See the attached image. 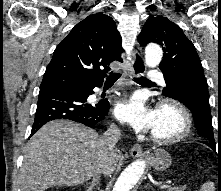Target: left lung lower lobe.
Returning <instances> with one entry per match:
<instances>
[{
    "label": "left lung lower lobe",
    "mask_w": 221,
    "mask_h": 191,
    "mask_svg": "<svg viewBox=\"0 0 221 191\" xmlns=\"http://www.w3.org/2000/svg\"><path fill=\"white\" fill-rule=\"evenodd\" d=\"M187 99V107L191 110L196 125L199 131L203 125V121L211 120L209 106V92L206 80H194L187 88L185 93ZM206 122V123H207Z\"/></svg>",
    "instance_id": "left-lung-lower-lobe-1"
}]
</instances>
